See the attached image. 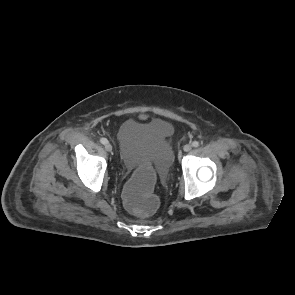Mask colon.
Instances as JSON below:
<instances>
[{"label": "colon", "instance_id": "1", "mask_svg": "<svg viewBox=\"0 0 295 295\" xmlns=\"http://www.w3.org/2000/svg\"><path fill=\"white\" fill-rule=\"evenodd\" d=\"M132 179L122 192L127 208L140 217H151L158 207L157 198L150 190L156 183V172L150 166H139L133 172Z\"/></svg>", "mask_w": 295, "mask_h": 295}]
</instances>
